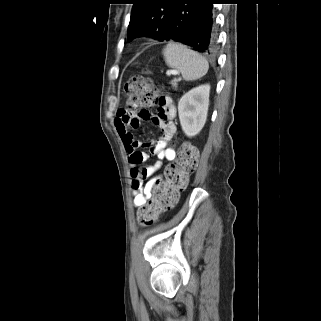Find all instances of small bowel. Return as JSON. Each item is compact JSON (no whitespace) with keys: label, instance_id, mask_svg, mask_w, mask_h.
I'll use <instances>...</instances> for the list:
<instances>
[{"label":"small bowel","instance_id":"1","mask_svg":"<svg viewBox=\"0 0 321 321\" xmlns=\"http://www.w3.org/2000/svg\"><path fill=\"white\" fill-rule=\"evenodd\" d=\"M156 107L157 113L155 114L147 109L138 112L120 109L114 120L115 129L128 156L132 178L133 203L136 207L145 205L146 201L152 196L155 185L162 181V176L156 174L162 165V161H173L176 158V151L168 147V143L176 132V107L169 96H161L156 102ZM142 121H151L162 131L160 137L144 144L150 149V153L158 159L154 165L144 169L140 168V165L148 160L149 154L140 150L143 145L134 138L131 132V130L138 128ZM146 179L147 181L144 182Z\"/></svg>","mask_w":321,"mask_h":321}]
</instances>
